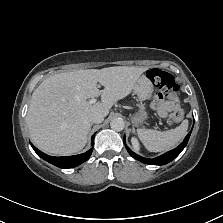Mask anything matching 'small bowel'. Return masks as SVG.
Segmentation results:
<instances>
[{
  "instance_id": "obj_1",
  "label": "small bowel",
  "mask_w": 223,
  "mask_h": 223,
  "mask_svg": "<svg viewBox=\"0 0 223 223\" xmlns=\"http://www.w3.org/2000/svg\"><path fill=\"white\" fill-rule=\"evenodd\" d=\"M153 105L160 116H166L172 110L179 108L178 99L175 96L165 99L162 93L155 95Z\"/></svg>"
}]
</instances>
